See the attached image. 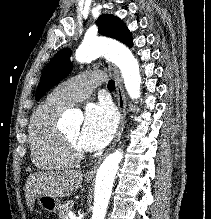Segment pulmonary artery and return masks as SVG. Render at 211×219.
Here are the masks:
<instances>
[{"mask_svg":"<svg viewBox=\"0 0 211 219\" xmlns=\"http://www.w3.org/2000/svg\"><path fill=\"white\" fill-rule=\"evenodd\" d=\"M105 76L99 71H87L66 80L50 95L49 99L63 107H69L86 97L104 80Z\"/></svg>","mask_w":211,"mask_h":219,"instance_id":"pulmonary-artery-1","label":"pulmonary artery"}]
</instances>
